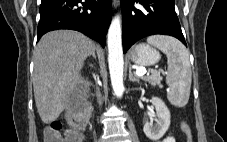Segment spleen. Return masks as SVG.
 Segmentation results:
<instances>
[{"label":"spleen","mask_w":227,"mask_h":142,"mask_svg":"<svg viewBox=\"0 0 227 142\" xmlns=\"http://www.w3.org/2000/svg\"><path fill=\"white\" fill-rule=\"evenodd\" d=\"M147 42L167 56L166 83L171 88L167 93L168 100L175 106H185L190 97L192 81L188 50L181 42L170 36L153 35L147 38Z\"/></svg>","instance_id":"3e777b00"}]
</instances>
